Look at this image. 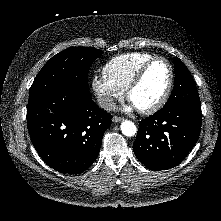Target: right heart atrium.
<instances>
[{
  "label": "right heart atrium",
  "instance_id": "d8ad5b80",
  "mask_svg": "<svg viewBox=\"0 0 221 221\" xmlns=\"http://www.w3.org/2000/svg\"><path fill=\"white\" fill-rule=\"evenodd\" d=\"M92 89L99 105L105 110H111L115 101L123 97L124 91L108 80L104 75L94 76Z\"/></svg>",
  "mask_w": 221,
  "mask_h": 221
}]
</instances>
